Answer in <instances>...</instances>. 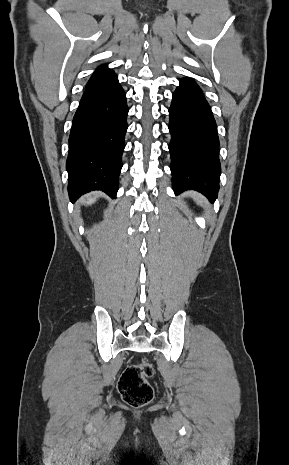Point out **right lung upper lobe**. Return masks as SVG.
I'll list each match as a JSON object with an SVG mask.
<instances>
[{
	"instance_id": "right-lung-upper-lobe-1",
	"label": "right lung upper lobe",
	"mask_w": 289,
	"mask_h": 465,
	"mask_svg": "<svg viewBox=\"0 0 289 465\" xmlns=\"http://www.w3.org/2000/svg\"><path fill=\"white\" fill-rule=\"evenodd\" d=\"M116 78L117 76L114 73V71L109 69L106 64L101 65L95 70V72L89 79L86 88L102 86L108 84Z\"/></svg>"
}]
</instances>
